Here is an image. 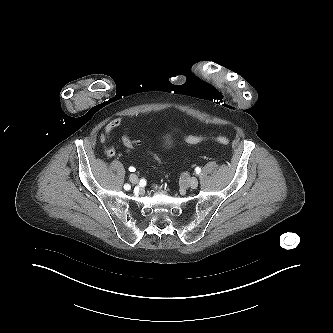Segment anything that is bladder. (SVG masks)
Wrapping results in <instances>:
<instances>
[{
    "instance_id": "31cf9c89",
    "label": "bladder",
    "mask_w": 333,
    "mask_h": 333,
    "mask_svg": "<svg viewBox=\"0 0 333 333\" xmlns=\"http://www.w3.org/2000/svg\"><path fill=\"white\" fill-rule=\"evenodd\" d=\"M165 146H169L170 145V140L169 139H166L165 142H164Z\"/></svg>"
}]
</instances>
